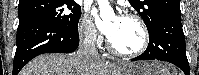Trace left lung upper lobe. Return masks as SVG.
<instances>
[{
  "label": "left lung upper lobe",
  "mask_w": 199,
  "mask_h": 75,
  "mask_svg": "<svg viewBox=\"0 0 199 75\" xmlns=\"http://www.w3.org/2000/svg\"><path fill=\"white\" fill-rule=\"evenodd\" d=\"M144 20L148 32H151L155 24L165 15L172 12H180L179 0H129Z\"/></svg>",
  "instance_id": "obj_1"
}]
</instances>
